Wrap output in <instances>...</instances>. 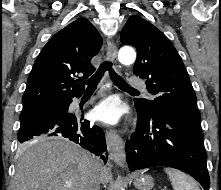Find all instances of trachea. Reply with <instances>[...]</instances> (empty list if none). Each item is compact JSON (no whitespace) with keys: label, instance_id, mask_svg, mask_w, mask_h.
Instances as JSON below:
<instances>
[{"label":"trachea","instance_id":"obj_1","mask_svg":"<svg viewBox=\"0 0 221 190\" xmlns=\"http://www.w3.org/2000/svg\"><path fill=\"white\" fill-rule=\"evenodd\" d=\"M106 71H109V75L114 82L115 85L122 89H127V90H132V91H137L133 87H131L129 84H127L112 68V64L109 61L103 62L97 72L87 81V89H96L98 83L104 76V73Z\"/></svg>","mask_w":221,"mask_h":190}]
</instances>
